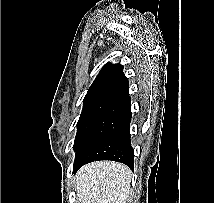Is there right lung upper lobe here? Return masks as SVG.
Returning a JSON list of instances; mask_svg holds the SVG:
<instances>
[{
    "label": "right lung upper lobe",
    "instance_id": "obj_1",
    "mask_svg": "<svg viewBox=\"0 0 214 203\" xmlns=\"http://www.w3.org/2000/svg\"><path fill=\"white\" fill-rule=\"evenodd\" d=\"M129 93L128 80L123 74V66L107 63L88 89L87 98H112L114 100Z\"/></svg>",
    "mask_w": 214,
    "mask_h": 203
}]
</instances>
